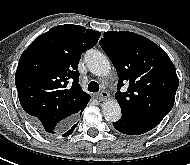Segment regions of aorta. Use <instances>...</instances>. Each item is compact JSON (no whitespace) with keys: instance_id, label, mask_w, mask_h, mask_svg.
Segmentation results:
<instances>
[{"instance_id":"aorta-1","label":"aorta","mask_w":190,"mask_h":165,"mask_svg":"<svg viewBox=\"0 0 190 165\" xmlns=\"http://www.w3.org/2000/svg\"><path fill=\"white\" fill-rule=\"evenodd\" d=\"M89 71L97 76H108L111 70L106 55L97 50H91L85 57ZM102 114L109 122H116L121 118V108L116 100H106L102 104Z\"/></svg>"}]
</instances>
